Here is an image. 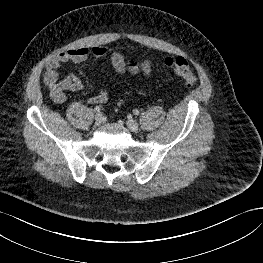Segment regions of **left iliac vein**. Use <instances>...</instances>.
I'll return each instance as SVG.
<instances>
[{"mask_svg": "<svg viewBox=\"0 0 263 263\" xmlns=\"http://www.w3.org/2000/svg\"><path fill=\"white\" fill-rule=\"evenodd\" d=\"M127 127H128L131 131L137 132V131H138V128H139V125H138V123H137L135 120L129 119V120L127 121Z\"/></svg>", "mask_w": 263, "mask_h": 263, "instance_id": "1", "label": "left iliac vein"}]
</instances>
